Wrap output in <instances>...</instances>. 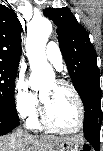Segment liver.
Returning a JSON list of instances; mask_svg holds the SVG:
<instances>
[{
  "label": "liver",
  "instance_id": "6515ba94",
  "mask_svg": "<svg viewBox=\"0 0 103 151\" xmlns=\"http://www.w3.org/2000/svg\"><path fill=\"white\" fill-rule=\"evenodd\" d=\"M68 139L55 136H45L37 139L34 136L16 132L1 137L0 151H48L54 145Z\"/></svg>",
  "mask_w": 103,
  "mask_h": 151
}]
</instances>
